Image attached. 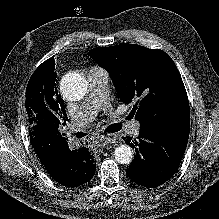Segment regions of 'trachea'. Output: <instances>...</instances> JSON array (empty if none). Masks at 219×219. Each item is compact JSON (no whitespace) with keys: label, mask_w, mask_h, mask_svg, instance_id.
Wrapping results in <instances>:
<instances>
[{"label":"trachea","mask_w":219,"mask_h":219,"mask_svg":"<svg viewBox=\"0 0 219 219\" xmlns=\"http://www.w3.org/2000/svg\"><path fill=\"white\" fill-rule=\"evenodd\" d=\"M121 128H122V125L120 123L112 124L106 128L105 132H108V133L118 132L121 130Z\"/></svg>","instance_id":"3493384b"}]
</instances>
